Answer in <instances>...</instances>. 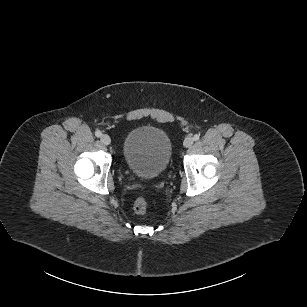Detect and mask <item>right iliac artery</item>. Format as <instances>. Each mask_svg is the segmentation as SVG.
Segmentation results:
<instances>
[{
    "instance_id": "obj_1",
    "label": "right iliac artery",
    "mask_w": 307,
    "mask_h": 307,
    "mask_svg": "<svg viewBox=\"0 0 307 307\" xmlns=\"http://www.w3.org/2000/svg\"><path fill=\"white\" fill-rule=\"evenodd\" d=\"M95 135H96L97 137H100V136L102 135V133H101L99 130H96V131H95Z\"/></svg>"
}]
</instances>
